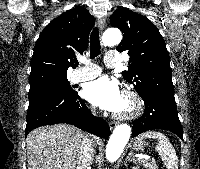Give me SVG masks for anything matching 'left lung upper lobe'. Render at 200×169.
Wrapping results in <instances>:
<instances>
[{"label":"left lung upper lobe","mask_w":200,"mask_h":169,"mask_svg":"<svg viewBox=\"0 0 200 169\" xmlns=\"http://www.w3.org/2000/svg\"><path fill=\"white\" fill-rule=\"evenodd\" d=\"M113 27L123 33L117 46L119 52L128 51V71L123 78L135 85L143 98L149 92L174 95L170 57L156 26L145 16L129 9H117L110 17Z\"/></svg>","instance_id":"5c2ea615"}]
</instances>
